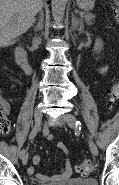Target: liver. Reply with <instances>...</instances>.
<instances>
[{
  "mask_svg": "<svg viewBox=\"0 0 119 185\" xmlns=\"http://www.w3.org/2000/svg\"><path fill=\"white\" fill-rule=\"evenodd\" d=\"M42 7L43 0H0V47L25 33Z\"/></svg>",
  "mask_w": 119,
  "mask_h": 185,
  "instance_id": "obj_1",
  "label": "liver"
}]
</instances>
